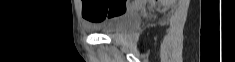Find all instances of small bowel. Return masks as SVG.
<instances>
[{
	"label": "small bowel",
	"instance_id": "small-bowel-1",
	"mask_svg": "<svg viewBox=\"0 0 235 62\" xmlns=\"http://www.w3.org/2000/svg\"><path fill=\"white\" fill-rule=\"evenodd\" d=\"M86 19V18H85ZM87 20V19H86ZM88 21V20H87ZM88 23H89V25H94V23H92V22H90V21H88Z\"/></svg>",
	"mask_w": 235,
	"mask_h": 62
}]
</instances>
